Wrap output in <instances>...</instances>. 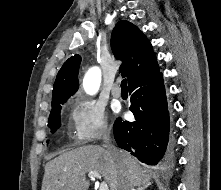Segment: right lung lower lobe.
<instances>
[{
	"instance_id": "98d812e1",
	"label": "right lung lower lobe",
	"mask_w": 221,
	"mask_h": 190,
	"mask_svg": "<svg viewBox=\"0 0 221 190\" xmlns=\"http://www.w3.org/2000/svg\"><path fill=\"white\" fill-rule=\"evenodd\" d=\"M135 122L118 118L113 126L118 146L148 165H162L172 156L169 105L162 73L129 88Z\"/></svg>"
}]
</instances>
